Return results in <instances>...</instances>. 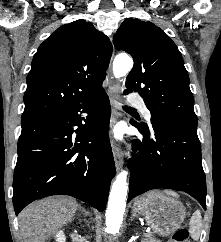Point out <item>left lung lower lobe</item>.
Segmentation results:
<instances>
[{
    "instance_id": "1",
    "label": "left lung lower lobe",
    "mask_w": 221,
    "mask_h": 242,
    "mask_svg": "<svg viewBox=\"0 0 221 242\" xmlns=\"http://www.w3.org/2000/svg\"><path fill=\"white\" fill-rule=\"evenodd\" d=\"M133 125L146 139L132 141L134 150L139 149V157L128 162V201L151 189L170 188L188 193L206 209V177L197 129L155 122L150 132L137 123Z\"/></svg>"
}]
</instances>
